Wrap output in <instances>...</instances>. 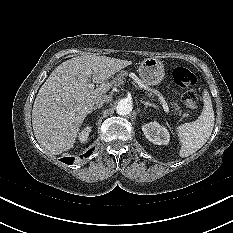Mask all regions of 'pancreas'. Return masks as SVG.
Wrapping results in <instances>:
<instances>
[{"label": "pancreas", "instance_id": "1", "mask_svg": "<svg viewBox=\"0 0 233 233\" xmlns=\"http://www.w3.org/2000/svg\"><path fill=\"white\" fill-rule=\"evenodd\" d=\"M127 74H128L127 71H121L116 77H113V78H112V83H113L115 86L121 85V84L123 83V80L125 79V76H126ZM153 93H154L155 95H157L155 91H153ZM153 93H149V96H151ZM170 104L172 105V107L174 108V110L177 112V114H178L179 116H182L183 118H188V117H189V114H188L187 112H183V111L180 109V107H179V105H178L177 103H175V102H170Z\"/></svg>", "mask_w": 233, "mask_h": 233}]
</instances>
